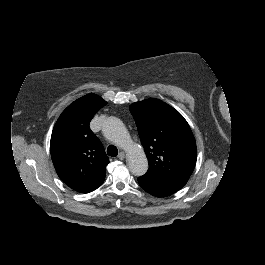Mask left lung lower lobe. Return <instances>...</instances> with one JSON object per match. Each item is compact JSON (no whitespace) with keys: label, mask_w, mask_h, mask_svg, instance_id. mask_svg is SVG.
Returning a JSON list of instances; mask_svg holds the SVG:
<instances>
[{"label":"left lung lower lobe","mask_w":265,"mask_h":265,"mask_svg":"<svg viewBox=\"0 0 265 265\" xmlns=\"http://www.w3.org/2000/svg\"><path fill=\"white\" fill-rule=\"evenodd\" d=\"M138 182L139 185L146 192L156 197L169 196L182 188L179 186H169V185L159 184L142 176L138 178Z\"/></svg>","instance_id":"left-lung-lower-lobe-1"}]
</instances>
